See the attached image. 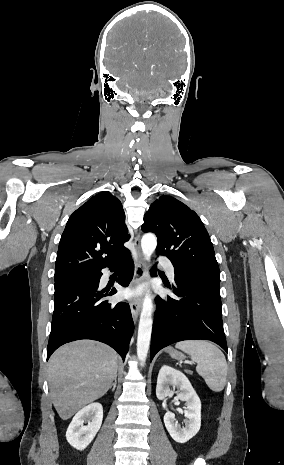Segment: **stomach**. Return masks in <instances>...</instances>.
Instances as JSON below:
<instances>
[{"label": "stomach", "instance_id": "obj_1", "mask_svg": "<svg viewBox=\"0 0 284 465\" xmlns=\"http://www.w3.org/2000/svg\"><path fill=\"white\" fill-rule=\"evenodd\" d=\"M167 353H169L170 357L172 359H176V361H185L186 357L183 355V353H180V351H175V349H172V347H168Z\"/></svg>", "mask_w": 284, "mask_h": 465}]
</instances>
